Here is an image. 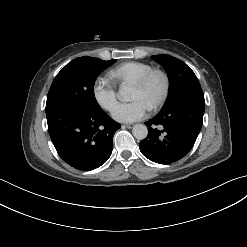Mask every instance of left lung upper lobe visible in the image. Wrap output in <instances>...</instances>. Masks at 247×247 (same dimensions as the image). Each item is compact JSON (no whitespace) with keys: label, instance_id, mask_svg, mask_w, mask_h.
Returning <instances> with one entry per match:
<instances>
[{"label":"left lung upper lobe","instance_id":"1","mask_svg":"<svg viewBox=\"0 0 247 247\" xmlns=\"http://www.w3.org/2000/svg\"><path fill=\"white\" fill-rule=\"evenodd\" d=\"M152 59L163 66L170 81L169 96L160 112L188 102L205 103L200 83L187 64L165 54L152 56Z\"/></svg>","mask_w":247,"mask_h":247}]
</instances>
